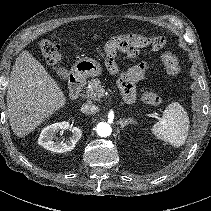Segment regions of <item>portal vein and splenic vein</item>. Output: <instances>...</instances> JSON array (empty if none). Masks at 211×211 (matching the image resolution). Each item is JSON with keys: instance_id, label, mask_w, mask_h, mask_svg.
<instances>
[{"instance_id": "18ae733b", "label": "portal vein and splenic vein", "mask_w": 211, "mask_h": 211, "mask_svg": "<svg viewBox=\"0 0 211 211\" xmlns=\"http://www.w3.org/2000/svg\"><path fill=\"white\" fill-rule=\"evenodd\" d=\"M153 116H154L155 118L161 119V118H160V115L157 114V113H154Z\"/></svg>"}]
</instances>
